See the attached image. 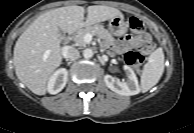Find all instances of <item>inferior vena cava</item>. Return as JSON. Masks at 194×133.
I'll list each match as a JSON object with an SVG mask.
<instances>
[{"label":"inferior vena cava","mask_w":194,"mask_h":133,"mask_svg":"<svg viewBox=\"0 0 194 133\" xmlns=\"http://www.w3.org/2000/svg\"><path fill=\"white\" fill-rule=\"evenodd\" d=\"M64 57L70 60H76L80 57V52L72 46H67L64 49Z\"/></svg>","instance_id":"1"}]
</instances>
